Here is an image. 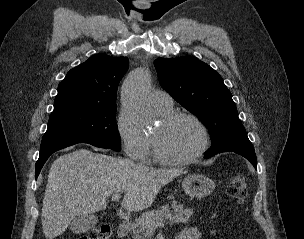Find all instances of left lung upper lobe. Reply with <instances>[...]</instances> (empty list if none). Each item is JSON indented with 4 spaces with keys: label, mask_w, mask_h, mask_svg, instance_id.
Segmentation results:
<instances>
[{
    "label": "left lung upper lobe",
    "mask_w": 304,
    "mask_h": 239,
    "mask_svg": "<svg viewBox=\"0 0 304 239\" xmlns=\"http://www.w3.org/2000/svg\"><path fill=\"white\" fill-rule=\"evenodd\" d=\"M154 65L163 89L209 129L213 146L208 154L254 151L218 72L191 56L158 58Z\"/></svg>",
    "instance_id": "5c2ea615"
}]
</instances>
